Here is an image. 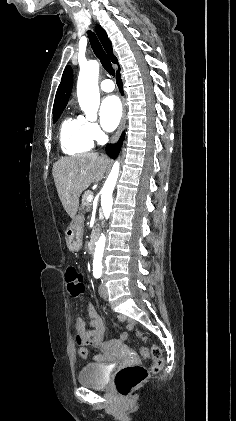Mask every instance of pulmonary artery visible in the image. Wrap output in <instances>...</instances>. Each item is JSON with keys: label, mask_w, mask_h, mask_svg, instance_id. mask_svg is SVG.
Listing matches in <instances>:
<instances>
[{"label": "pulmonary artery", "mask_w": 236, "mask_h": 421, "mask_svg": "<svg viewBox=\"0 0 236 421\" xmlns=\"http://www.w3.org/2000/svg\"><path fill=\"white\" fill-rule=\"evenodd\" d=\"M100 88L105 92H112L115 90V84L112 81L105 79L100 83Z\"/></svg>", "instance_id": "1"}]
</instances>
